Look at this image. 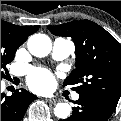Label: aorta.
Listing matches in <instances>:
<instances>
[{
    "instance_id": "obj_1",
    "label": "aorta",
    "mask_w": 121,
    "mask_h": 121,
    "mask_svg": "<svg viewBox=\"0 0 121 121\" xmlns=\"http://www.w3.org/2000/svg\"><path fill=\"white\" fill-rule=\"evenodd\" d=\"M27 47L30 53L36 57L47 56L52 49L51 39L45 34H34L27 42ZM71 107L68 103H58L54 108V114L60 119L69 117Z\"/></svg>"
}]
</instances>
